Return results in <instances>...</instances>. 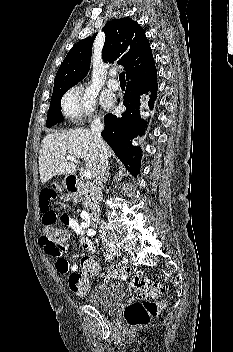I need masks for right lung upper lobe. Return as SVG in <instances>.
Masks as SVG:
<instances>
[{"label":"right lung upper lobe","mask_w":233,"mask_h":352,"mask_svg":"<svg viewBox=\"0 0 233 352\" xmlns=\"http://www.w3.org/2000/svg\"><path fill=\"white\" fill-rule=\"evenodd\" d=\"M105 44L102 58L105 62L125 65L127 80L142 76L155 68L150 44L144 29L130 18L110 21L103 27ZM97 33L79 41L68 52L59 67L54 87L75 85L88 73L92 45Z\"/></svg>","instance_id":"obj_1"}]
</instances>
